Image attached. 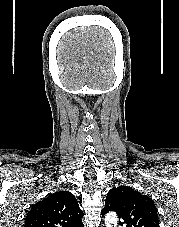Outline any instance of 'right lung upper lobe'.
<instances>
[{"instance_id":"right-lung-upper-lobe-1","label":"right lung upper lobe","mask_w":179,"mask_h":227,"mask_svg":"<svg viewBox=\"0 0 179 227\" xmlns=\"http://www.w3.org/2000/svg\"><path fill=\"white\" fill-rule=\"evenodd\" d=\"M82 218L75 196L59 191L32 206L24 227H84Z\"/></svg>"}]
</instances>
